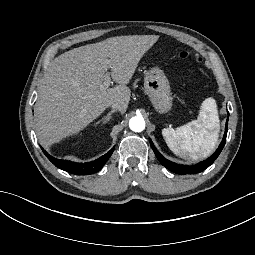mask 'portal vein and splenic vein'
Segmentation results:
<instances>
[{"label": "portal vein and splenic vein", "mask_w": 255, "mask_h": 255, "mask_svg": "<svg viewBox=\"0 0 255 255\" xmlns=\"http://www.w3.org/2000/svg\"><path fill=\"white\" fill-rule=\"evenodd\" d=\"M111 84V77L107 76L104 80V82L101 84L100 88L101 89H107Z\"/></svg>", "instance_id": "obj_1"}]
</instances>
